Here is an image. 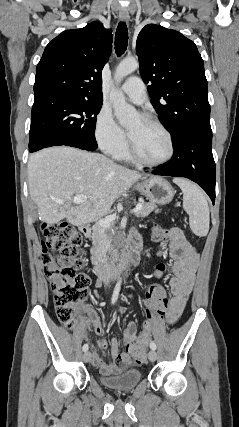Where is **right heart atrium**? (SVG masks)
Segmentation results:
<instances>
[{
  "mask_svg": "<svg viewBox=\"0 0 239 427\" xmlns=\"http://www.w3.org/2000/svg\"><path fill=\"white\" fill-rule=\"evenodd\" d=\"M94 136L99 148L115 156L126 146V136L108 109H101L95 121Z\"/></svg>",
  "mask_w": 239,
  "mask_h": 427,
  "instance_id": "right-heart-atrium-1",
  "label": "right heart atrium"
}]
</instances>
